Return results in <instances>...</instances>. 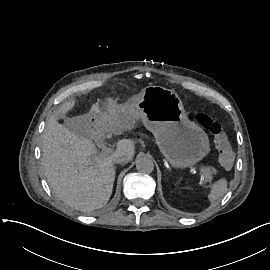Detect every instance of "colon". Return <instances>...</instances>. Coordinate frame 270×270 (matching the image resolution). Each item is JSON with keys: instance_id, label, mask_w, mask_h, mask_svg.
Wrapping results in <instances>:
<instances>
[{"instance_id": "obj_1", "label": "colon", "mask_w": 270, "mask_h": 270, "mask_svg": "<svg viewBox=\"0 0 270 270\" xmlns=\"http://www.w3.org/2000/svg\"><path fill=\"white\" fill-rule=\"evenodd\" d=\"M197 123L208 130L212 135L214 143L221 153L219 171L223 175H229L233 171V150L225 135L222 126L214 121L208 114L199 113L196 117Z\"/></svg>"}]
</instances>
